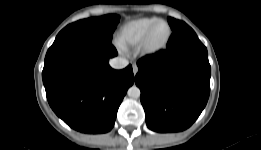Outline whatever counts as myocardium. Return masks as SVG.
<instances>
[{
    "mask_svg": "<svg viewBox=\"0 0 261 150\" xmlns=\"http://www.w3.org/2000/svg\"><path fill=\"white\" fill-rule=\"evenodd\" d=\"M159 23L166 24V26L168 28V34H167V37L162 44H160L158 46H152L150 44V37H151L153 29ZM171 36H172V28H171L170 24L164 19H158L145 32L143 38L141 39V41L139 43V50L144 55H148V56L156 55V54L162 52L164 49H166V47H167V45H168V43L171 39Z\"/></svg>",
    "mask_w": 261,
    "mask_h": 150,
    "instance_id": "obj_1",
    "label": "myocardium"
}]
</instances>
